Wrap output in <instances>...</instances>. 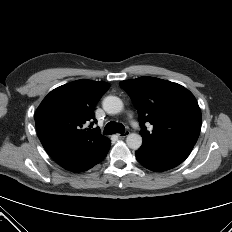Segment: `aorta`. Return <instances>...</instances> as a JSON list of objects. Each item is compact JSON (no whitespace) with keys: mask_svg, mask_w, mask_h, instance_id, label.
Here are the masks:
<instances>
[{"mask_svg":"<svg viewBox=\"0 0 232 232\" xmlns=\"http://www.w3.org/2000/svg\"><path fill=\"white\" fill-rule=\"evenodd\" d=\"M103 109L108 114H118L123 109V102L116 96H107L102 102ZM129 148L137 150L142 145V137L139 134L131 133L126 138Z\"/></svg>","mask_w":232,"mask_h":232,"instance_id":"762f6f07","label":"aorta"}]
</instances>
